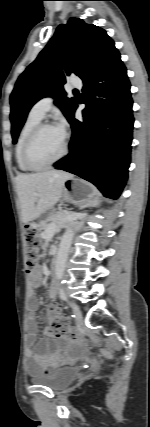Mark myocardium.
Here are the masks:
<instances>
[{
  "instance_id": "f54148a6",
  "label": "myocardium",
  "mask_w": 150,
  "mask_h": 427,
  "mask_svg": "<svg viewBox=\"0 0 150 427\" xmlns=\"http://www.w3.org/2000/svg\"><path fill=\"white\" fill-rule=\"evenodd\" d=\"M56 127H58V126L54 123H51V122H40L30 131V133L26 137L24 145H23L22 156H23V161H24L25 165L30 170H36L37 171V170L46 169V168L56 164L57 162L62 160L67 155L68 150H69V141H68V137L66 135L63 150L55 159H53L52 161H50L48 163L42 164V165H36V164L32 163V161L30 160L29 152H30L31 145H32L34 139L36 138V136L44 129L56 128Z\"/></svg>"
}]
</instances>
